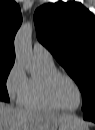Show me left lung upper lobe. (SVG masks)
<instances>
[{
  "label": "left lung upper lobe",
  "mask_w": 95,
  "mask_h": 130,
  "mask_svg": "<svg viewBox=\"0 0 95 130\" xmlns=\"http://www.w3.org/2000/svg\"><path fill=\"white\" fill-rule=\"evenodd\" d=\"M38 40L82 92L84 111L95 109V17L81 3L57 2L34 14Z\"/></svg>",
  "instance_id": "obj_1"
}]
</instances>
